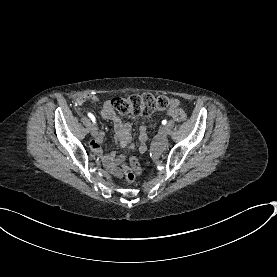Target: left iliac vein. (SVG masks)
<instances>
[{"instance_id":"4c4485c4","label":"left iliac vein","mask_w":277,"mask_h":277,"mask_svg":"<svg viewBox=\"0 0 277 277\" xmlns=\"http://www.w3.org/2000/svg\"><path fill=\"white\" fill-rule=\"evenodd\" d=\"M160 134L162 137H166L167 136V128L166 127H162L160 130Z\"/></svg>"}]
</instances>
